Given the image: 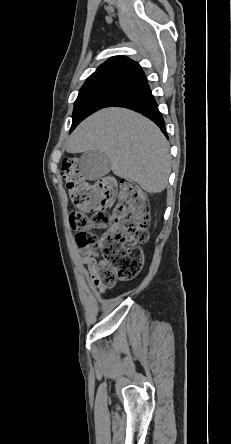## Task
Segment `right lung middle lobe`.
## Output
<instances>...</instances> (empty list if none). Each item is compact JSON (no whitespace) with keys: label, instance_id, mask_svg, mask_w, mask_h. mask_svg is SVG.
Wrapping results in <instances>:
<instances>
[{"label":"right lung middle lobe","instance_id":"obj_1","mask_svg":"<svg viewBox=\"0 0 231 444\" xmlns=\"http://www.w3.org/2000/svg\"><path fill=\"white\" fill-rule=\"evenodd\" d=\"M128 92L115 85H101L81 89L75 101L73 123L70 132L87 116L109 107Z\"/></svg>","mask_w":231,"mask_h":444}]
</instances>
